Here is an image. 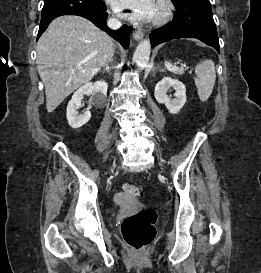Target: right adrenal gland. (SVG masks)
I'll list each match as a JSON object with an SVG mask.
<instances>
[{"label": "right adrenal gland", "instance_id": "obj_1", "mask_svg": "<svg viewBox=\"0 0 261 273\" xmlns=\"http://www.w3.org/2000/svg\"><path fill=\"white\" fill-rule=\"evenodd\" d=\"M113 60L110 59L109 61H107V63L103 66L104 70L107 72H110V67L109 64L112 62Z\"/></svg>", "mask_w": 261, "mask_h": 273}]
</instances>
